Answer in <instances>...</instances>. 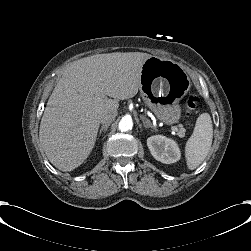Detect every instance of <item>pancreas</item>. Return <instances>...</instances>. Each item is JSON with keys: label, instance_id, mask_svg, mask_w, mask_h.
Masks as SVG:
<instances>
[{"label": "pancreas", "instance_id": "1", "mask_svg": "<svg viewBox=\"0 0 251 251\" xmlns=\"http://www.w3.org/2000/svg\"><path fill=\"white\" fill-rule=\"evenodd\" d=\"M178 127H179L178 135L183 137L185 135V129L183 128L182 124H179Z\"/></svg>", "mask_w": 251, "mask_h": 251}]
</instances>
